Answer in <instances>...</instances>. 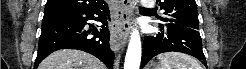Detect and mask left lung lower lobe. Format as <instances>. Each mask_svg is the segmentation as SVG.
Listing matches in <instances>:
<instances>
[{
  "label": "left lung lower lobe",
  "instance_id": "obj_1",
  "mask_svg": "<svg viewBox=\"0 0 246 69\" xmlns=\"http://www.w3.org/2000/svg\"><path fill=\"white\" fill-rule=\"evenodd\" d=\"M171 51L192 55L207 66L202 51V40L197 30L163 26L156 36L145 37L141 68L154 56Z\"/></svg>",
  "mask_w": 246,
  "mask_h": 69
}]
</instances>
